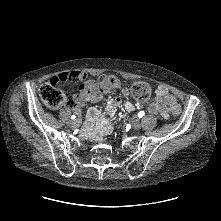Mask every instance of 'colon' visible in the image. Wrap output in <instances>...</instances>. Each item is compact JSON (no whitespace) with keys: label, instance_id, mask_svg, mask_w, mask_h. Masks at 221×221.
I'll return each instance as SVG.
<instances>
[{"label":"colon","instance_id":"1","mask_svg":"<svg viewBox=\"0 0 221 221\" xmlns=\"http://www.w3.org/2000/svg\"><path fill=\"white\" fill-rule=\"evenodd\" d=\"M119 85L120 81L117 77L105 76L101 79L100 91L108 93L117 89ZM130 90L132 96L141 102L147 101L151 95L150 86L141 81L133 83ZM39 94L44 104L51 109H58L63 105H72L76 101V96L65 93L58 85L52 86L49 82L40 87ZM166 104L173 115H179L180 106L174 97H167Z\"/></svg>","mask_w":221,"mask_h":221}]
</instances>
